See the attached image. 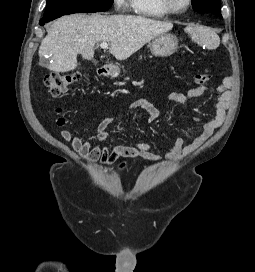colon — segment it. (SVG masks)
I'll use <instances>...</instances> for the list:
<instances>
[{
  "label": "colon",
  "mask_w": 255,
  "mask_h": 272,
  "mask_svg": "<svg viewBox=\"0 0 255 272\" xmlns=\"http://www.w3.org/2000/svg\"><path fill=\"white\" fill-rule=\"evenodd\" d=\"M81 75L79 73H51L45 79L49 95L56 97L68 91V89L79 81ZM210 80V75L205 73L196 74L194 81L197 85H204ZM58 126L65 124L64 118H59Z\"/></svg>",
  "instance_id": "obj_1"
}]
</instances>
